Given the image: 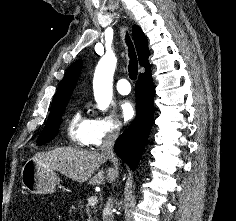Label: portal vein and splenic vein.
Segmentation results:
<instances>
[{
	"instance_id": "obj_1",
	"label": "portal vein and splenic vein",
	"mask_w": 236,
	"mask_h": 221,
	"mask_svg": "<svg viewBox=\"0 0 236 221\" xmlns=\"http://www.w3.org/2000/svg\"><path fill=\"white\" fill-rule=\"evenodd\" d=\"M97 202H98V199H97L96 196H91L90 198H88V204H89L90 206L96 205Z\"/></svg>"
}]
</instances>
